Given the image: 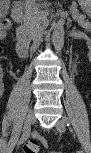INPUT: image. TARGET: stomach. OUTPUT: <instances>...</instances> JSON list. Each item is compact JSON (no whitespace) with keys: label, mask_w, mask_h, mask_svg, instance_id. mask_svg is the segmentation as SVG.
<instances>
[{"label":"stomach","mask_w":91,"mask_h":153,"mask_svg":"<svg viewBox=\"0 0 91 153\" xmlns=\"http://www.w3.org/2000/svg\"><path fill=\"white\" fill-rule=\"evenodd\" d=\"M79 3L83 6L86 12L90 11L91 8V1L90 0H80Z\"/></svg>","instance_id":"obj_1"}]
</instances>
